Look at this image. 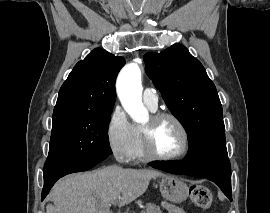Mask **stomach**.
<instances>
[{
    "label": "stomach",
    "mask_w": 270,
    "mask_h": 213,
    "mask_svg": "<svg viewBox=\"0 0 270 213\" xmlns=\"http://www.w3.org/2000/svg\"><path fill=\"white\" fill-rule=\"evenodd\" d=\"M161 195L174 203L184 201L189 194V187L181 179L172 175H165L159 182Z\"/></svg>",
    "instance_id": "1"
}]
</instances>
